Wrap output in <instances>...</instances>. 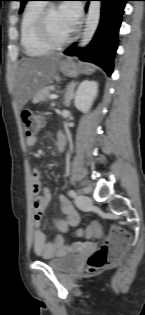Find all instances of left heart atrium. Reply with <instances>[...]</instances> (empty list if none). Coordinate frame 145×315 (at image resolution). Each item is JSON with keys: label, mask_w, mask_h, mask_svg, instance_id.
I'll use <instances>...</instances> for the list:
<instances>
[{"label": "left heart atrium", "mask_w": 145, "mask_h": 315, "mask_svg": "<svg viewBox=\"0 0 145 315\" xmlns=\"http://www.w3.org/2000/svg\"><path fill=\"white\" fill-rule=\"evenodd\" d=\"M59 10L73 30L81 17L80 4L76 1H67L61 4Z\"/></svg>", "instance_id": "left-heart-atrium-1"}]
</instances>
